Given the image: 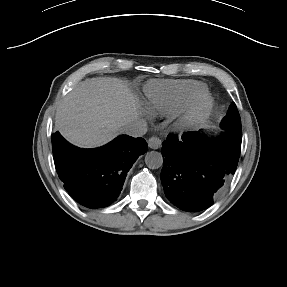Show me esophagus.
<instances>
[{
	"label": "esophagus",
	"instance_id": "esophagus-1",
	"mask_svg": "<svg viewBox=\"0 0 287 287\" xmlns=\"http://www.w3.org/2000/svg\"><path fill=\"white\" fill-rule=\"evenodd\" d=\"M148 146L151 149H158L161 146V140L159 139V137L157 136H152L151 138H149L148 140Z\"/></svg>",
	"mask_w": 287,
	"mask_h": 287
}]
</instances>
